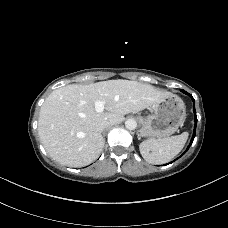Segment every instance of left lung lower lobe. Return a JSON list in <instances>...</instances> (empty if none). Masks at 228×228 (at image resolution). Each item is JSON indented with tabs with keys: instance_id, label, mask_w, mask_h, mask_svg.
<instances>
[{
	"instance_id": "1",
	"label": "left lung lower lobe",
	"mask_w": 228,
	"mask_h": 228,
	"mask_svg": "<svg viewBox=\"0 0 228 228\" xmlns=\"http://www.w3.org/2000/svg\"><path fill=\"white\" fill-rule=\"evenodd\" d=\"M184 93L187 94V95H189V96L192 98L193 102H194V98H193L190 94H188V93L185 92V91H184ZM193 112H194V122H195L194 132H193V135H192V138H191V142H190V144L188 145L186 151L189 149V147L191 146V144H192V142H193V140H194V138H195L196 124H197V116H196V111H195V106H194V105H193ZM186 151H185V152H186Z\"/></svg>"
}]
</instances>
